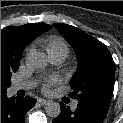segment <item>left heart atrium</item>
Masks as SVG:
<instances>
[{"mask_svg": "<svg viewBox=\"0 0 123 123\" xmlns=\"http://www.w3.org/2000/svg\"><path fill=\"white\" fill-rule=\"evenodd\" d=\"M57 80H58L57 77H54V76L47 78V79L44 81L43 89H44V90H48V88H49L52 84L56 83Z\"/></svg>", "mask_w": 123, "mask_h": 123, "instance_id": "left-heart-atrium-1", "label": "left heart atrium"}]
</instances>
